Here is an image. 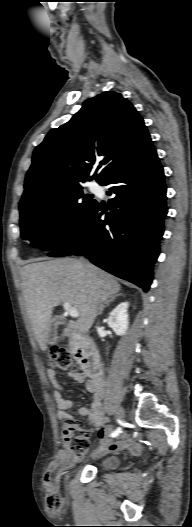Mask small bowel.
I'll return each mask as SVG.
<instances>
[{
    "mask_svg": "<svg viewBox=\"0 0 192 527\" xmlns=\"http://www.w3.org/2000/svg\"><path fill=\"white\" fill-rule=\"evenodd\" d=\"M47 376L50 383L56 388L54 397L57 403V416L61 420H68L73 418L70 409L73 406V401L66 399L62 395L63 386L59 383L56 370L48 369ZM72 381L77 383H84L86 390L93 395L92 402L89 407H82L79 409V414L88 418L89 424L94 429H99V437L102 439V444L99 446L96 454L104 452H116L121 450H128L133 455H138L142 451V446L129 439L126 435H121L117 441H112L106 438L110 428L101 427L106 423L107 419L103 411V398L105 395V382L101 376L91 375L86 372L70 373Z\"/></svg>",
    "mask_w": 192,
    "mask_h": 527,
    "instance_id": "obj_1",
    "label": "small bowel"
}]
</instances>
